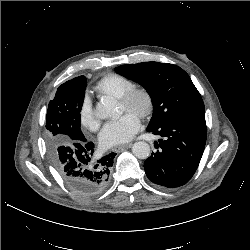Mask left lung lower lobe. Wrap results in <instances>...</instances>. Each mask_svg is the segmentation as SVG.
Returning a JSON list of instances; mask_svg holds the SVG:
<instances>
[{
  "mask_svg": "<svg viewBox=\"0 0 250 250\" xmlns=\"http://www.w3.org/2000/svg\"><path fill=\"white\" fill-rule=\"evenodd\" d=\"M147 131L162 137L159 143H154L157 152L144 162L148 179L166 188L186 184L194 175L205 148V116L175 120Z\"/></svg>",
  "mask_w": 250,
  "mask_h": 250,
  "instance_id": "obj_1",
  "label": "left lung lower lobe"
}]
</instances>
